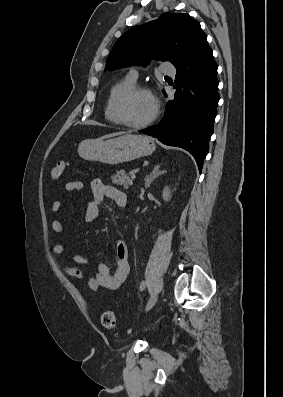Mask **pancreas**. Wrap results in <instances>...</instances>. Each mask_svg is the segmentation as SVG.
Here are the masks:
<instances>
[{
	"label": "pancreas",
	"mask_w": 283,
	"mask_h": 397,
	"mask_svg": "<svg viewBox=\"0 0 283 397\" xmlns=\"http://www.w3.org/2000/svg\"><path fill=\"white\" fill-rule=\"evenodd\" d=\"M112 182L119 186H123L124 189H129L133 184V179L130 178L124 170H120L112 177Z\"/></svg>",
	"instance_id": "pancreas-1"
}]
</instances>
